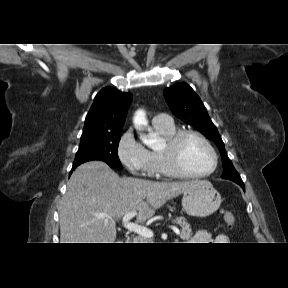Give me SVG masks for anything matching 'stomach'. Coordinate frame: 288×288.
Masks as SVG:
<instances>
[{
    "label": "stomach",
    "mask_w": 288,
    "mask_h": 288,
    "mask_svg": "<svg viewBox=\"0 0 288 288\" xmlns=\"http://www.w3.org/2000/svg\"><path fill=\"white\" fill-rule=\"evenodd\" d=\"M219 192L210 182L200 181L192 189L183 193L182 206L187 214L194 217H207L220 207Z\"/></svg>",
    "instance_id": "0dacf381"
}]
</instances>
